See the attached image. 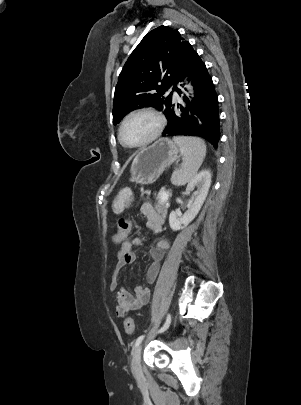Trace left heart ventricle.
Masks as SVG:
<instances>
[{
    "label": "left heart ventricle",
    "mask_w": 301,
    "mask_h": 405,
    "mask_svg": "<svg viewBox=\"0 0 301 405\" xmlns=\"http://www.w3.org/2000/svg\"><path fill=\"white\" fill-rule=\"evenodd\" d=\"M156 126L157 121L150 115L143 114L132 117L123 128V141L129 145L139 144L152 135Z\"/></svg>",
    "instance_id": "obj_1"
}]
</instances>
